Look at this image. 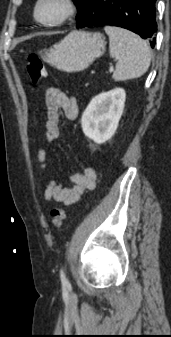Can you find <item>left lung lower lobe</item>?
I'll return each mask as SVG.
<instances>
[{
    "instance_id": "1",
    "label": "left lung lower lobe",
    "mask_w": 171,
    "mask_h": 337,
    "mask_svg": "<svg viewBox=\"0 0 171 337\" xmlns=\"http://www.w3.org/2000/svg\"><path fill=\"white\" fill-rule=\"evenodd\" d=\"M156 0H88L77 28L119 26L149 39L155 45Z\"/></svg>"
}]
</instances>
